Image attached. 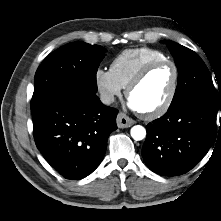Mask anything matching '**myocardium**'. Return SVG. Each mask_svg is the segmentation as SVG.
<instances>
[{"instance_id": "f54148a6", "label": "myocardium", "mask_w": 221, "mask_h": 221, "mask_svg": "<svg viewBox=\"0 0 221 221\" xmlns=\"http://www.w3.org/2000/svg\"><path fill=\"white\" fill-rule=\"evenodd\" d=\"M162 65H170L173 68V81L170 88V91L165 98V100L155 109L151 111H139V113L146 119H155L162 115H164L170 106L172 105L174 98L177 93L178 84H179V68L177 64L170 60V59H162V60H156L153 62L148 63L145 65L129 82V84L126 87V96L130 100L131 93L134 91L136 87H138L144 79L149 75L151 71H153L155 68L162 66Z\"/></svg>"}]
</instances>
